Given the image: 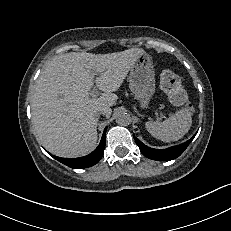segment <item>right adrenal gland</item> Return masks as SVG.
<instances>
[{
  "label": "right adrenal gland",
  "mask_w": 231,
  "mask_h": 231,
  "mask_svg": "<svg viewBox=\"0 0 231 231\" xmlns=\"http://www.w3.org/2000/svg\"><path fill=\"white\" fill-rule=\"evenodd\" d=\"M97 121H99V116H97Z\"/></svg>",
  "instance_id": "right-adrenal-gland-1"
}]
</instances>
